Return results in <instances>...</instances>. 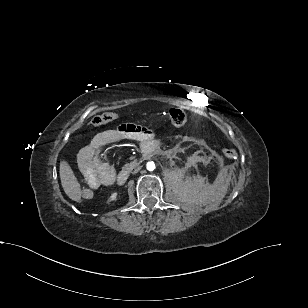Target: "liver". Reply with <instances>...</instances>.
Instances as JSON below:
<instances>
[{
  "label": "liver",
  "instance_id": "6515ba94",
  "mask_svg": "<svg viewBox=\"0 0 308 308\" xmlns=\"http://www.w3.org/2000/svg\"><path fill=\"white\" fill-rule=\"evenodd\" d=\"M60 179L62 187L67 194L74 201L81 199V189L71 167L67 161L63 160L60 163Z\"/></svg>",
  "mask_w": 308,
  "mask_h": 308
}]
</instances>
